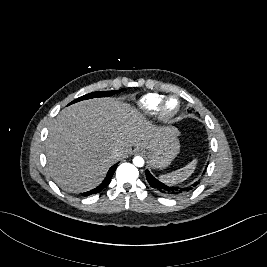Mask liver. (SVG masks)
Returning <instances> with one entry per match:
<instances>
[{
  "instance_id": "1",
  "label": "liver",
  "mask_w": 267,
  "mask_h": 267,
  "mask_svg": "<svg viewBox=\"0 0 267 267\" xmlns=\"http://www.w3.org/2000/svg\"><path fill=\"white\" fill-rule=\"evenodd\" d=\"M167 132L114 98L82 101L52 121L46 140L48 170L63 190L87 191L102 182L114 163L128 157L133 146L153 148ZM115 148L121 150L118 157Z\"/></svg>"
}]
</instances>
